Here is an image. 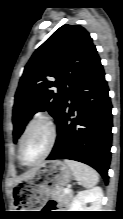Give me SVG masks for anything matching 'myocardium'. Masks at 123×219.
Segmentation results:
<instances>
[{
	"mask_svg": "<svg viewBox=\"0 0 123 219\" xmlns=\"http://www.w3.org/2000/svg\"><path fill=\"white\" fill-rule=\"evenodd\" d=\"M37 125H43L47 128L48 133H49L48 144H47V147H46V150H45L44 154L40 157V159H38L36 162H33V163H27V162L24 161V159L22 157L23 142H24L26 136L29 134V132ZM56 138H57V128H56V125H55L54 121L46 115L35 116L27 124L26 128L24 129V131L21 135V138H20V141H19V146H18L19 161L25 166H35V165L41 163L51 153V151H52V149L55 145Z\"/></svg>",
	"mask_w": 123,
	"mask_h": 219,
	"instance_id": "1",
	"label": "myocardium"
}]
</instances>
